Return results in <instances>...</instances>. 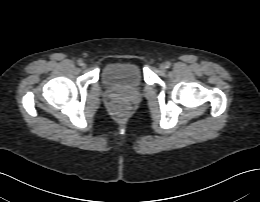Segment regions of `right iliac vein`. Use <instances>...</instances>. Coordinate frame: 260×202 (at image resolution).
Wrapping results in <instances>:
<instances>
[{"label": "right iliac vein", "instance_id": "obj_1", "mask_svg": "<svg viewBox=\"0 0 260 202\" xmlns=\"http://www.w3.org/2000/svg\"><path fill=\"white\" fill-rule=\"evenodd\" d=\"M81 67H82L83 69L86 68V64L83 63V64L81 65Z\"/></svg>", "mask_w": 260, "mask_h": 202}]
</instances>
